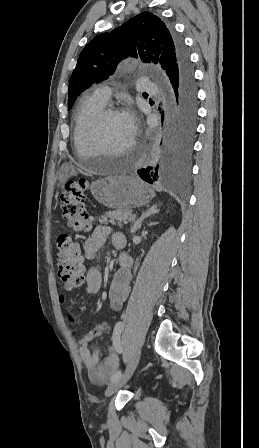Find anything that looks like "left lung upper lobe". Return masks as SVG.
<instances>
[{
    "mask_svg": "<svg viewBox=\"0 0 259 448\" xmlns=\"http://www.w3.org/2000/svg\"><path fill=\"white\" fill-rule=\"evenodd\" d=\"M179 54L176 38L165 23L151 12H142L112 32L97 35L84 47L70 78L68 109L77 96L93 83L106 80L129 56L160 63L167 70Z\"/></svg>",
    "mask_w": 259,
    "mask_h": 448,
    "instance_id": "5c2ea615",
    "label": "left lung upper lobe"
}]
</instances>
